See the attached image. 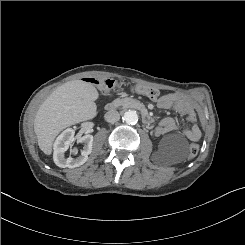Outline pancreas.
Instances as JSON below:
<instances>
[{
  "mask_svg": "<svg viewBox=\"0 0 245 245\" xmlns=\"http://www.w3.org/2000/svg\"><path fill=\"white\" fill-rule=\"evenodd\" d=\"M113 106H123V107H137L141 105L139 101L132 98L116 99L112 102Z\"/></svg>",
  "mask_w": 245,
  "mask_h": 245,
  "instance_id": "cf45deb5",
  "label": "pancreas"
}]
</instances>
